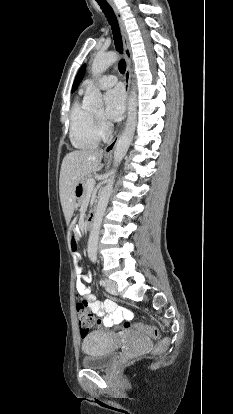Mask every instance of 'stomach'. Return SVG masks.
Listing matches in <instances>:
<instances>
[{
    "mask_svg": "<svg viewBox=\"0 0 233 414\" xmlns=\"http://www.w3.org/2000/svg\"><path fill=\"white\" fill-rule=\"evenodd\" d=\"M83 193H84V185L83 182H81L80 184H78L75 188V196L76 197H83ZM80 198V199H81Z\"/></svg>",
    "mask_w": 233,
    "mask_h": 414,
    "instance_id": "stomach-1",
    "label": "stomach"
}]
</instances>
